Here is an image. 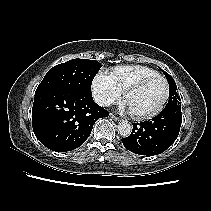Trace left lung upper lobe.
<instances>
[{
    "instance_id": "obj_1",
    "label": "left lung upper lobe",
    "mask_w": 211,
    "mask_h": 211,
    "mask_svg": "<svg viewBox=\"0 0 211 211\" xmlns=\"http://www.w3.org/2000/svg\"><path fill=\"white\" fill-rule=\"evenodd\" d=\"M162 71L165 74V76L169 82V101H168L166 107L181 106V103H180L181 99L178 94L177 86H176L174 79L167 72H165L164 70H162Z\"/></svg>"
}]
</instances>
